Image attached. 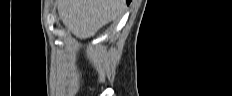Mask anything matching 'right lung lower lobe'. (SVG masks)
I'll use <instances>...</instances> for the list:
<instances>
[{
	"instance_id": "obj_1",
	"label": "right lung lower lobe",
	"mask_w": 232,
	"mask_h": 96,
	"mask_svg": "<svg viewBox=\"0 0 232 96\" xmlns=\"http://www.w3.org/2000/svg\"><path fill=\"white\" fill-rule=\"evenodd\" d=\"M127 4H129L131 2V0H126Z\"/></svg>"
}]
</instances>
